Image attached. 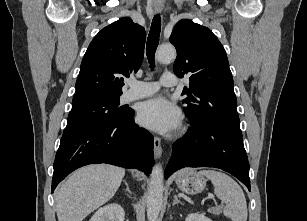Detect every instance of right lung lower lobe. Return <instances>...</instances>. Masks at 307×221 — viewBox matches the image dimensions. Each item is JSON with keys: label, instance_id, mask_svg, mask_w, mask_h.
<instances>
[{"label": "right lung lower lobe", "instance_id": "obj_1", "mask_svg": "<svg viewBox=\"0 0 307 221\" xmlns=\"http://www.w3.org/2000/svg\"><path fill=\"white\" fill-rule=\"evenodd\" d=\"M153 146V136L134 123L133 110L119 119L63 135L53 164L52 193L69 173L88 164L137 168L148 175L154 164Z\"/></svg>", "mask_w": 307, "mask_h": 221}]
</instances>
